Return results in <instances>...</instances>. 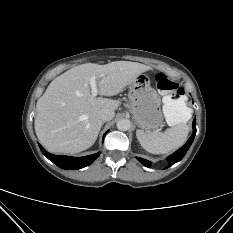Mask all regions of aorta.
<instances>
[{"instance_id":"aorta-1","label":"aorta","mask_w":233,"mask_h":233,"mask_svg":"<svg viewBox=\"0 0 233 233\" xmlns=\"http://www.w3.org/2000/svg\"><path fill=\"white\" fill-rule=\"evenodd\" d=\"M116 125L119 130L127 131L131 127V121L129 119H120Z\"/></svg>"}]
</instances>
